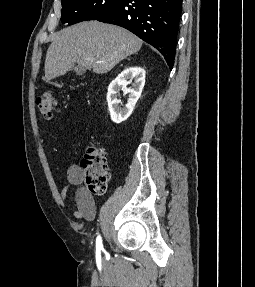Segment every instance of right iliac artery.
Masks as SVG:
<instances>
[{
	"label": "right iliac artery",
	"mask_w": 255,
	"mask_h": 287,
	"mask_svg": "<svg viewBox=\"0 0 255 287\" xmlns=\"http://www.w3.org/2000/svg\"><path fill=\"white\" fill-rule=\"evenodd\" d=\"M96 249H97V251H100L103 249L102 239L100 236H98L96 239Z\"/></svg>",
	"instance_id": "obj_1"
}]
</instances>
